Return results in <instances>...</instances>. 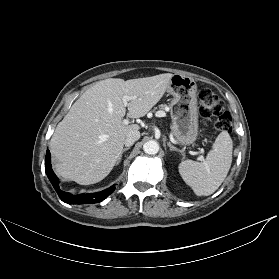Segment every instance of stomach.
Masks as SVG:
<instances>
[{
  "mask_svg": "<svg viewBox=\"0 0 279 279\" xmlns=\"http://www.w3.org/2000/svg\"><path fill=\"white\" fill-rule=\"evenodd\" d=\"M167 92L173 96L170 103L172 133L179 144L190 145L198 136L197 84L191 77L174 74Z\"/></svg>",
  "mask_w": 279,
  "mask_h": 279,
  "instance_id": "stomach-1",
  "label": "stomach"
}]
</instances>
